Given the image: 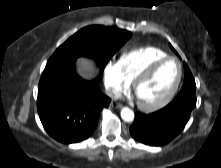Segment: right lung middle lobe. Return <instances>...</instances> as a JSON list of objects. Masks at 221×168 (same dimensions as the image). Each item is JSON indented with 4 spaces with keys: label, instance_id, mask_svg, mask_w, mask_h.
<instances>
[{
    "label": "right lung middle lobe",
    "instance_id": "dd1d6c3e",
    "mask_svg": "<svg viewBox=\"0 0 221 168\" xmlns=\"http://www.w3.org/2000/svg\"><path fill=\"white\" fill-rule=\"evenodd\" d=\"M131 32L101 25L88 26L67 39L50 57L49 62L94 58L103 70L111 57L131 37Z\"/></svg>",
    "mask_w": 221,
    "mask_h": 168
}]
</instances>
